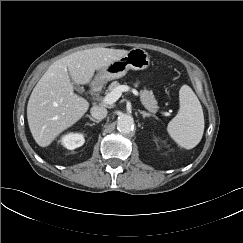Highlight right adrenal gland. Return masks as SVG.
I'll return each mask as SVG.
<instances>
[{
    "label": "right adrenal gland",
    "mask_w": 243,
    "mask_h": 243,
    "mask_svg": "<svg viewBox=\"0 0 243 243\" xmlns=\"http://www.w3.org/2000/svg\"><path fill=\"white\" fill-rule=\"evenodd\" d=\"M91 121L95 122V123H99L100 120H95L93 117H91L90 115H86Z\"/></svg>",
    "instance_id": "2a0ac1e0"
}]
</instances>
